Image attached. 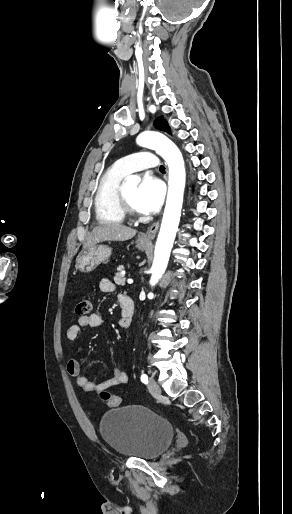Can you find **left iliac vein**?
<instances>
[{
	"instance_id": "1",
	"label": "left iliac vein",
	"mask_w": 292,
	"mask_h": 514,
	"mask_svg": "<svg viewBox=\"0 0 292 514\" xmlns=\"http://www.w3.org/2000/svg\"><path fill=\"white\" fill-rule=\"evenodd\" d=\"M148 389L153 396H159L161 394V389L153 378H150L148 382Z\"/></svg>"
}]
</instances>
